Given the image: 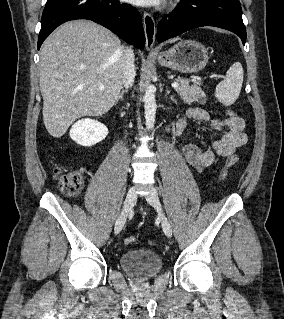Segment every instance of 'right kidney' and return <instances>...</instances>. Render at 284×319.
Returning a JSON list of instances; mask_svg holds the SVG:
<instances>
[{
	"label": "right kidney",
	"mask_w": 284,
	"mask_h": 319,
	"mask_svg": "<svg viewBox=\"0 0 284 319\" xmlns=\"http://www.w3.org/2000/svg\"><path fill=\"white\" fill-rule=\"evenodd\" d=\"M108 135L107 127L93 119L78 120L70 129V137L77 144L91 147L104 140Z\"/></svg>",
	"instance_id": "obj_1"
}]
</instances>
